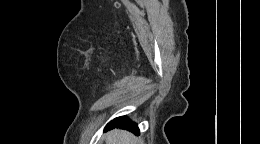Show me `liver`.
I'll return each instance as SVG.
<instances>
[{"label": "liver", "instance_id": "6515ba94", "mask_svg": "<svg viewBox=\"0 0 260 144\" xmlns=\"http://www.w3.org/2000/svg\"><path fill=\"white\" fill-rule=\"evenodd\" d=\"M106 144H140V140L130 132L115 130L107 134Z\"/></svg>", "mask_w": 260, "mask_h": 144}]
</instances>
